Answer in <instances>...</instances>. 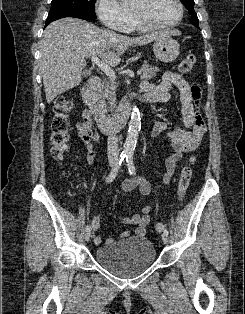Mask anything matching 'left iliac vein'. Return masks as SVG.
<instances>
[{
	"mask_svg": "<svg viewBox=\"0 0 245 314\" xmlns=\"http://www.w3.org/2000/svg\"><path fill=\"white\" fill-rule=\"evenodd\" d=\"M162 240H163L164 243H168V241H169L168 234L163 233V234H162Z\"/></svg>",
	"mask_w": 245,
	"mask_h": 314,
	"instance_id": "obj_1",
	"label": "left iliac vein"
}]
</instances>
